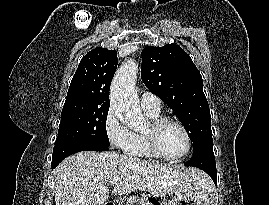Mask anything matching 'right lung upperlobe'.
Returning a JSON list of instances; mask_svg holds the SVG:
<instances>
[{"instance_id":"1","label":"right lung upper lobe","mask_w":269,"mask_h":205,"mask_svg":"<svg viewBox=\"0 0 269 205\" xmlns=\"http://www.w3.org/2000/svg\"><path fill=\"white\" fill-rule=\"evenodd\" d=\"M117 52L97 47L80 61L64 107L73 105L109 107V90L117 68Z\"/></svg>"}]
</instances>
